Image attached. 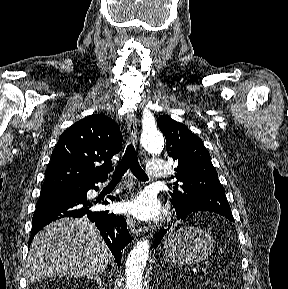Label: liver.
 <instances>
[{"label": "liver", "mask_w": 288, "mask_h": 289, "mask_svg": "<svg viewBox=\"0 0 288 289\" xmlns=\"http://www.w3.org/2000/svg\"><path fill=\"white\" fill-rule=\"evenodd\" d=\"M113 256L95 224L84 218H63L45 226L33 239L27 258L30 282L51 276L93 277Z\"/></svg>", "instance_id": "6515ba94"}]
</instances>
